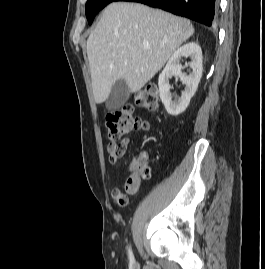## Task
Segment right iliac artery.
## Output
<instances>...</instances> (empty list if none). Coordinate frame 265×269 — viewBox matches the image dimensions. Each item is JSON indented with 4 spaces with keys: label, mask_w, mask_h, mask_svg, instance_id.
Segmentation results:
<instances>
[{
    "label": "right iliac artery",
    "mask_w": 265,
    "mask_h": 269,
    "mask_svg": "<svg viewBox=\"0 0 265 269\" xmlns=\"http://www.w3.org/2000/svg\"><path fill=\"white\" fill-rule=\"evenodd\" d=\"M128 254H129V260H130V262L133 263L134 262V256L132 254V250H131L130 247L128 248Z\"/></svg>",
    "instance_id": "1"
}]
</instances>
